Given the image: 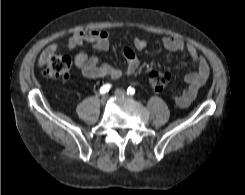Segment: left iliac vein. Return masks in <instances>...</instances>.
<instances>
[{"instance_id":"left-iliac-vein-1","label":"left iliac vein","mask_w":245,"mask_h":195,"mask_svg":"<svg viewBox=\"0 0 245 195\" xmlns=\"http://www.w3.org/2000/svg\"><path fill=\"white\" fill-rule=\"evenodd\" d=\"M115 95L119 96V97H124V96H126V92L123 89H116L115 90Z\"/></svg>"}]
</instances>
